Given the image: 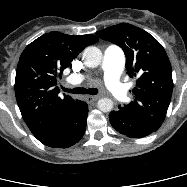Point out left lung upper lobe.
Masks as SVG:
<instances>
[{"instance_id": "obj_1", "label": "left lung upper lobe", "mask_w": 187, "mask_h": 187, "mask_svg": "<svg viewBox=\"0 0 187 187\" xmlns=\"http://www.w3.org/2000/svg\"><path fill=\"white\" fill-rule=\"evenodd\" d=\"M97 35L123 49L127 74L137 77L134 100L119 110L157 131L173 91L171 64L164 48L152 35L128 23L108 27Z\"/></svg>"}]
</instances>
